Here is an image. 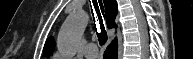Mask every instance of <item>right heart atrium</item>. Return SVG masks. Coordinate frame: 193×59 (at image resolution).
Segmentation results:
<instances>
[{"label": "right heart atrium", "instance_id": "right-heart-atrium-1", "mask_svg": "<svg viewBox=\"0 0 193 59\" xmlns=\"http://www.w3.org/2000/svg\"><path fill=\"white\" fill-rule=\"evenodd\" d=\"M57 57H58V59H64L63 55H60V54H58Z\"/></svg>", "mask_w": 193, "mask_h": 59}]
</instances>
